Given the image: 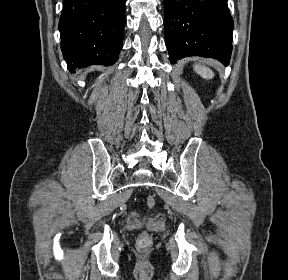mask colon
<instances>
[{"mask_svg": "<svg viewBox=\"0 0 288 280\" xmlns=\"http://www.w3.org/2000/svg\"><path fill=\"white\" fill-rule=\"evenodd\" d=\"M146 205L149 209H152L156 205L155 197L149 195L146 197ZM151 243V238L147 233H142L139 237L138 244L140 248H147Z\"/></svg>", "mask_w": 288, "mask_h": 280, "instance_id": "obj_1", "label": "colon"}]
</instances>
